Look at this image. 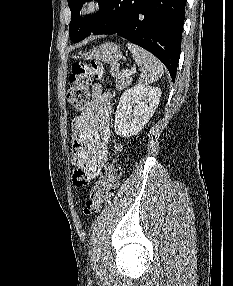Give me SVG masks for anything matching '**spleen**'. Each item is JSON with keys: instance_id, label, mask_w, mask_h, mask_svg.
Segmentation results:
<instances>
[{"instance_id": "obj_1", "label": "spleen", "mask_w": 233, "mask_h": 286, "mask_svg": "<svg viewBox=\"0 0 233 286\" xmlns=\"http://www.w3.org/2000/svg\"><path fill=\"white\" fill-rule=\"evenodd\" d=\"M127 47L141 68L140 85L146 86L149 83H154L164 74L163 64L150 52L133 43H127Z\"/></svg>"}]
</instances>
